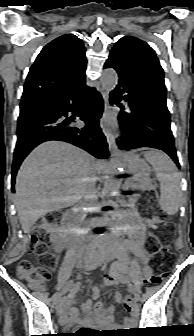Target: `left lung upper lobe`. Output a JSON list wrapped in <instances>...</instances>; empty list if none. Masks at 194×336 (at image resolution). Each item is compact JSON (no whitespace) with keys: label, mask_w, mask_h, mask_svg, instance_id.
Masks as SVG:
<instances>
[{"label":"left lung upper lobe","mask_w":194,"mask_h":336,"mask_svg":"<svg viewBox=\"0 0 194 336\" xmlns=\"http://www.w3.org/2000/svg\"><path fill=\"white\" fill-rule=\"evenodd\" d=\"M109 58L147 97L166 104L163 69L146 42L131 36L122 37L112 48Z\"/></svg>","instance_id":"1"}]
</instances>
